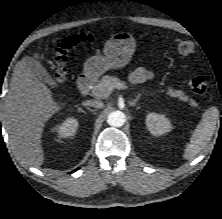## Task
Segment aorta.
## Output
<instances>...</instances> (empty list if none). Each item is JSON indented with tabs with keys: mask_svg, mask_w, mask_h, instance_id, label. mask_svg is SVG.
<instances>
[{
	"mask_svg": "<svg viewBox=\"0 0 222 219\" xmlns=\"http://www.w3.org/2000/svg\"><path fill=\"white\" fill-rule=\"evenodd\" d=\"M126 121V116L121 111H113L107 117V123L113 127H121Z\"/></svg>",
	"mask_w": 222,
	"mask_h": 219,
	"instance_id": "obj_1",
	"label": "aorta"
}]
</instances>
